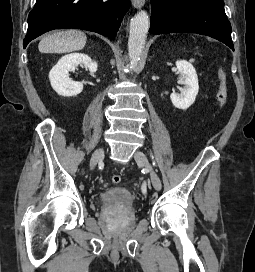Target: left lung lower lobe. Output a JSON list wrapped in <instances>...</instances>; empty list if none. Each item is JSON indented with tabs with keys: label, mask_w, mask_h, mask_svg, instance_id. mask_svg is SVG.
Segmentation results:
<instances>
[{
	"label": "left lung lower lobe",
	"mask_w": 255,
	"mask_h": 272,
	"mask_svg": "<svg viewBox=\"0 0 255 272\" xmlns=\"http://www.w3.org/2000/svg\"><path fill=\"white\" fill-rule=\"evenodd\" d=\"M151 9V34L198 33L234 51L223 0H151Z\"/></svg>",
	"instance_id": "left-lung-lower-lobe-1"
}]
</instances>
